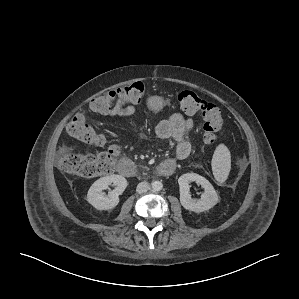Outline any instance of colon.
Wrapping results in <instances>:
<instances>
[{
  "label": "colon",
  "mask_w": 299,
  "mask_h": 299,
  "mask_svg": "<svg viewBox=\"0 0 299 299\" xmlns=\"http://www.w3.org/2000/svg\"><path fill=\"white\" fill-rule=\"evenodd\" d=\"M146 92L147 87L144 83L135 82L93 99L90 107L94 112L108 114L118 103H139ZM178 101L185 113L201 114L204 120V141L209 145L215 144L223 127L220 108L189 90L180 92ZM67 132L71 137L85 144L104 146L106 143L105 136L82 114H77L71 119L67 125ZM119 154L120 150L116 145H110L107 150L97 154H78L63 149L59 167L65 173L84 178L106 175L114 170ZM245 164V159L239 160L241 167Z\"/></svg>",
  "instance_id": "1"
}]
</instances>
